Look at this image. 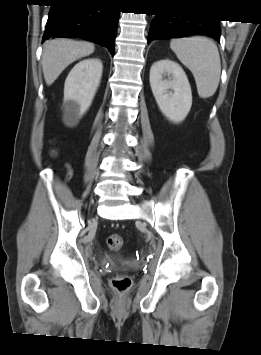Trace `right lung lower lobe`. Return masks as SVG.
<instances>
[{
  "mask_svg": "<svg viewBox=\"0 0 261 355\" xmlns=\"http://www.w3.org/2000/svg\"><path fill=\"white\" fill-rule=\"evenodd\" d=\"M43 41L83 38L106 46L112 56L120 12L105 0H52Z\"/></svg>",
  "mask_w": 261,
  "mask_h": 355,
  "instance_id": "98d812e1",
  "label": "right lung lower lobe"
}]
</instances>
